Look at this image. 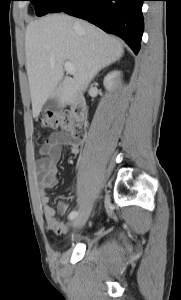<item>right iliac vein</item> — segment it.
Listing matches in <instances>:
<instances>
[{"instance_id": "63e3f726", "label": "right iliac vein", "mask_w": 181, "mask_h": 300, "mask_svg": "<svg viewBox=\"0 0 181 300\" xmlns=\"http://www.w3.org/2000/svg\"><path fill=\"white\" fill-rule=\"evenodd\" d=\"M90 213H91L90 208H88L84 212L80 213L73 222L74 227H78V226L84 224L87 221Z\"/></svg>"}]
</instances>
